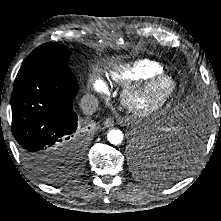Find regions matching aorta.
<instances>
[{
    "instance_id": "1",
    "label": "aorta",
    "mask_w": 221,
    "mask_h": 221,
    "mask_svg": "<svg viewBox=\"0 0 221 221\" xmlns=\"http://www.w3.org/2000/svg\"><path fill=\"white\" fill-rule=\"evenodd\" d=\"M107 139L113 145H120L124 140V135L119 129H111L107 133Z\"/></svg>"
}]
</instances>
